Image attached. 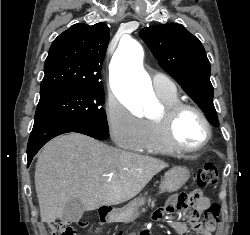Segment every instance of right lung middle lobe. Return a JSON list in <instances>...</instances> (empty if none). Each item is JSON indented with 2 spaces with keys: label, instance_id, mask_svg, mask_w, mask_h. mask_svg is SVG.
<instances>
[{
  "label": "right lung middle lobe",
  "instance_id": "dd1d6c3e",
  "mask_svg": "<svg viewBox=\"0 0 250 235\" xmlns=\"http://www.w3.org/2000/svg\"><path fill=\"white\" fill-rule=\"evenodd\" d=\"M103 86L62 91L40 97L35 120L61 118L108 131Z\"/></svg>",
  "mask_w": 250,
  "mask_h": 235
}]
</instances>
